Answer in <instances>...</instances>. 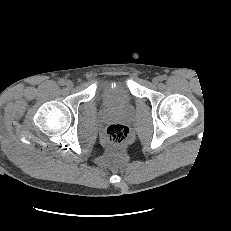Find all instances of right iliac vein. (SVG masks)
Returning <instances> with one entry per match:
<instances>
[{
  "label": "right iliac vein",
  "mask_w": 231,
  "mask_h": 231,
  "mask_svg": "<svg viewBox=\"0 0 231 231\" xmlns=\"http://www.w3.org/2000/svg\"><path fill=\"white\" fill-rule=\"evenodd\" d=\"M66 86H67L68 88H72V87L74 86V84H73L72 81L68 80V81L66 82Z\"/></svg>",
  "instance_id": "right-iliac-vein-1"
}]
</instances>
